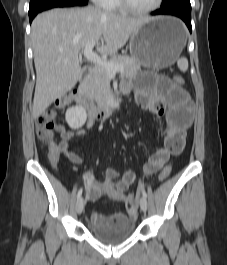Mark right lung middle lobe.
<instances>
[{"label": "right lung middle lobe", "instance_id": "right-lung-middle-lobe-1", "mask_svg": "<svg viewBox=\"0 0 227 265\" xmlns=\"http://www.w3.org/2000/svg\"><path fill=\"white\" fill-rule=\"evenodd\" d=\"M54 0H31L29 6V13L35 12L41 9L45 4Z\"/></svg>", "mask_w": 227, "mask_h": 265}]
</instances>
